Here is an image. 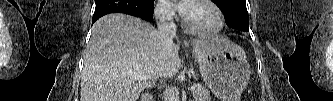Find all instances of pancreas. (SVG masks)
<instances>
[{
	"mask_svg": "<svg viewBox=\"0 0 333 101\" xmlns=\"http://www.w3.org/2000/svg\"><path fill=\"white\" fill-rule=\"evenodd\" d=\"M168 100L175 101L176 97L174 94L167 96ZM194 101H211L209 91L203 85H196L193 91Z\"/></svg>",
	"mask_w": 333,
	"mask_h": 101,
	"instance_id": "obj_1",
	"label": "pancreas"
}]
</instances>
